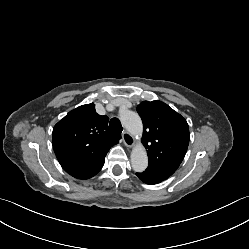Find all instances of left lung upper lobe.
I'll return each mask as SVG.
<instances>
[{
    "instance_id": "obj_1",
    "label": "left lung upper lobe",
    "mask_w": 249,
    "mask_h": 249,
    "mask_svg": "<svg viewBox=\"0 0 249 249\" xmlns=\"http://www.w3.org/2000/svg\"><path fill=\"white\" fill-rule=\"evenodd\" d=\"M143 122L142 143L147 149V170L171 176L181 164L189 144L186 120L161 101H143L137 106Z\"/></svg>"
}]
</instances>
